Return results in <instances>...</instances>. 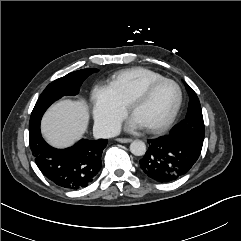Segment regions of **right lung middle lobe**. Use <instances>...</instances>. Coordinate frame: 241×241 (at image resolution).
Wrapping results in <instances>:
<instances>
[{
    "instance_id": "dd1d6c3e",
    "label": "right lung middle lobe",
    "mask_w": 241,
    "mask_h": 241,
    "mask_svg": "<svg viewBox=\"0 0 241 241\" xmlns=\"http://www.w3.org/2000/svg\"><path fill=\"white\" fill-rule=\"evenodd\" d=\"M98 69H82L50 83L38 98L31 113L29 128L37 125L46 109L56 100L66 95H76L83 81Z\"/></svg>"
}]
</instances>
